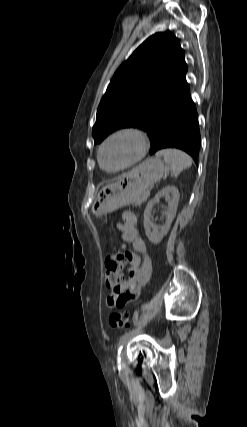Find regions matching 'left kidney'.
<instances>
[{"label": "left kidney", "mask_w": 247, "mask_h": 427, "mask_svg": "<svg viewBox=\"0 0 247 427\" xmlns=\"http://www.w3.org/2000/svg\"><path fill=\"white\" fill-rule=\"evenodd\" d=\"M161 197L166 198L168 202V208L166 211L163 212V214L166 217L165 224L158 228L151 221V217H152L151 211L154 205L160 200ZM179 197L180 195H179L178 189L175 186L168 185L162 190H160L155 195V197L148 202L146 209L144 211L143 223H144L145 233L151 243L153 244L160 243L163 237L168 233L171 223L176 216Z\"/></svg>", "instance_id": "1"}]
</instances>
